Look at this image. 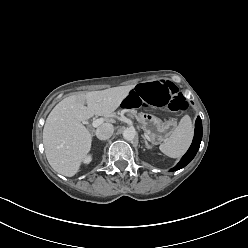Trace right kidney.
<instances>
[{
	"label": "right kidney",
	"mask_w": 248,
	"mask_h": 248,
	"mask_svg": "<svg viewBox=\"0 0 248 248\" xmlns=\"http://www.w3.org/2000/svg\"><path fill=\"white\" fill-rule=\"evenodd\" d=\"M91 162V156H88L85 158L84 163H90Z\"/></svg>",
	"instance_id": "obj_1"
}]
</instances>
